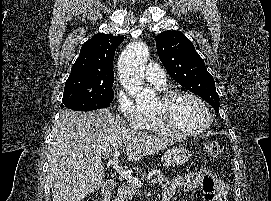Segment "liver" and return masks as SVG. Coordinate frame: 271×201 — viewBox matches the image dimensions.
I'll list each match as a JSON object with an SVG mask.
<instances>
[{"mask_svg":"<svg viewBox=\"0 0 271 201\" xmlns=\"http://www.w3.org/2000/svg\"><path fill=\"white\" fill-rule=\"evenodd\" d=\"M128 125L109 109L93 112L64 110L49 145L48 175L52 201H81L103 185L101 159L126 148L129 161H138L173 144Z\"/></svg>","mask_w":271,"mask_h":201,"instance_id":"6515ba94","label":"liver"}]
</instances>
